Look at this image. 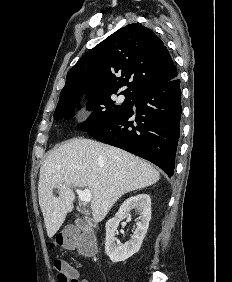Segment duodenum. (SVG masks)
Returning a JSON list of instances; mask_svg holds the SVG:
<instances>
[{"instance_id": "obj_1", "label": "duodenum", "mask_w": 232, "mask_h": 282, "mask_svg": "<svg viewBox=\"0 0 232 282\" xmlns=\"http://www.w3.org/2000/svg\"><path fill=\"white\" fill-rule=\"evenodd\" d=\"M76 224L78 226V228L82 231H89V227L82 221V220H77Z\"/></svg>"}]
</instances>
